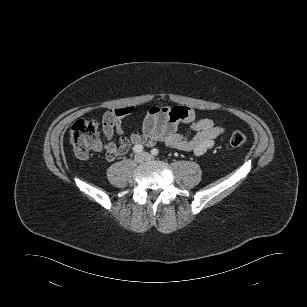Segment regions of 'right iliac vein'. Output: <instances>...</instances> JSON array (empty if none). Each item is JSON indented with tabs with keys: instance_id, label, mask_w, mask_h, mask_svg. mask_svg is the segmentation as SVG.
Masks as SVG:
<instances>
[{
	"instance_id": "63e3f726",
	"label": "right iliac vein",
	"mask_w": 307,
	"mask_h": 307,
	"mask_svg": "<svg viewBox=\"0 0 307 307\" xmlns=\"http://www.w3.org/2000/svg\"><path fill=\"white\" fill-rule=\"evenodd\" d=\"M134 160L137 163H142V162L145 161V156L142 153L136 154L135 157H134Z\"/></svg>"
}]
</instances>
